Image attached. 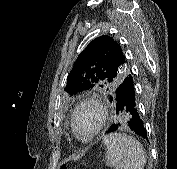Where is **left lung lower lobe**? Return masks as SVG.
Listing matches in <instances>:
<instances>
[{
	"mask_svg": "<svg viewBox=\"0 0 177 169\" xmlns=\"http://www.w3.org/2000/svg\"><path fill=\"white\" fill-rule=\"evenodd\" d=\"M115 100L117 113L119 111L129 113L131 115L130 120L128 121L127 126L130 130L135 132L137 135L148 140L147 132L144 127V122L140 117L138 108L135 102V91L134 83L131 75H127L120 85L115 90L113 97H110V100ZM118 125L113 124L107 133L114 132L118 129Z\"/></svg>",
	"mask_w": 177,
	"mask_h": 169,
	"instance_id": "0a47b994",
	"label": "left lung lower lobe"
}]
</instances>
